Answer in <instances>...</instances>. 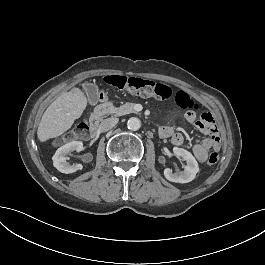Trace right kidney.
Instances as JSON below:
<instances>
[{
  "instance_id": "ca27d5eb",
  "label": "right kidney",
  "mask_w": 265,
  "mask_h": 265,
  "mask_svg": "<svg viewBox=\"0 0 265 265\" xmlns=\"http://www.w3.org/2000/svg\"><path fill=\"white\" fill-rule=\"evenodd\" d=\"M83 150V143L81 141H73L67 143L57 149L55 154L52 157L54 167L61 173L69 174L81 170L83 168L82 164H73L70 165L67 162V155L69 152L77 151L80 152Z\"/></svg>"
}]
</instances>
